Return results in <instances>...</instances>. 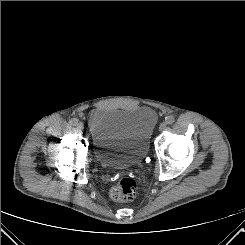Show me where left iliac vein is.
I'll list each match as a JSON object with an SVG mask.
<instances>
[{"mask_svg": "<svg viewBox=\"0 0 245 245\" xmlns=\"http://www.w3.org/2000/svg\"><path fill=\"white\" fill-rule=\"evenodd\" d=\"M167 124L165 122H162L159 126L160 131H164L166 129Z\"/></svg>", "mask_w": 245, "mask_h": 245, "instance_id": "obj_1", "label": "left iliac vein"}]
</instances>
